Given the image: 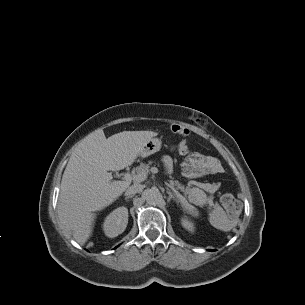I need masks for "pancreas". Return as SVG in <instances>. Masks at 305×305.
<instances>
[{"instance_id":"obj_1","label":"pancreas","mask_w":305,"mask_h":305,"mask_svg":"<svg viewBox=\"0 0 305 305\" xmlns=\"http://www.w3.org/2000/svg\"><path fill=\"white\" fill-rule=\"evenodd\" d=\"M152 163H153L152 161H149L148 164L141 163L136 168V173L139 174V173L144 172L147 174L150 170V165ZM168 185H170L171 187L175 186L178 189L183 190L188 201L197 206L203 207L210 201V199L207 197L206 193L197 187L185 188L178 181H173V180H170ZM184 202H187V200H185Z\"/></svg>"}]
</instances>
